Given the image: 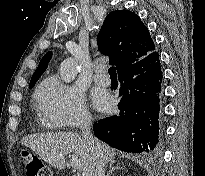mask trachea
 I'll use <instances>...</instances> for the list:
<instances>
[{"mask_svg": "<svg viewBox=\"0 0 205 176\" xmlns=\"http://www.w3.org/2000/svg\"><path fill=\"white\" fill-rule=\"evenodd\" d=\"M108 72H109L110 77H117L115 67H113V66L110 67L109 70H108Z\"/></svg>", "mask_w": 205, "mask_h": 176, "instance_id": "1", "label": "trachea"}]
</instances>
